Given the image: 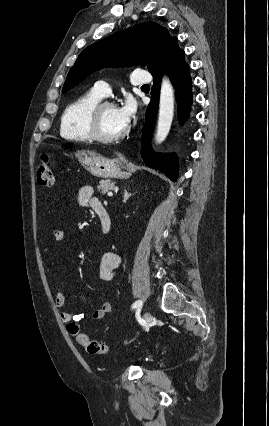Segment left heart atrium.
Masks as SVG:
<instances>
[{"instance_id": "1", "label": "left heart atrium", "mask_w": 269, "mask_h": 426, "mask_svg": "<svg viewBox=\"0 0 269 426\" xmlns=\"http://www.w3.org/2000/svg\"><path fill=\"white\" fill-rule=\"evenodd\" d=\"M117 110L120 122L123 126L127 127V125L130 123V121L135 115L136 109L134 104L131 102H127L122 107L117 108Z\"/></svg>"}]
</instances>
